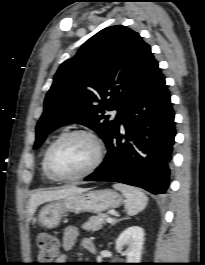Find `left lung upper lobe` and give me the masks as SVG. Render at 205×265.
Wrapping results in <instances>:
<instances>
[{
  "label": "left lung upper lobe",
  "mask_w": 205,
  "mask_h": 265,
  "mask_svg": "<svg viewBox=\"0 0 205 265\" xmlns=\"http://www.w3.org/2000/svg\"><path fill=\"white\" fill-rule=\"evenodd\" d=\"M157 64L150 46L124 26L107 27L61 64L36 126L37 149L54 129L69 123L96 131L106 146L119 114ZM118 110L114 119L106 111Z\"/></svg>",
  "instance_id": "1"
}]
</instances>
